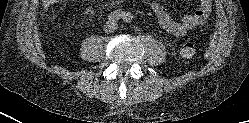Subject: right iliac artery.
Masks as SVG:
<instances>
[{
    "label": "right iliac artery",
    "instance_id": "82829eb1",
    "mask_svg": "<svg viewBox=\"0 0 249 123\" xmlns=\"http://www.w3.org/2000/svg\"><path fill=\"white\" fill-rule=\"evenodd\" d=\"M125 12L121 11V10H116V11H113L111 12L109 15H108V20L110 22H114V21H117L119 20L120 18H123Z\"/></svg>",
    "mask_w": 249,
    "mask_h": 123
}]
</instances>
